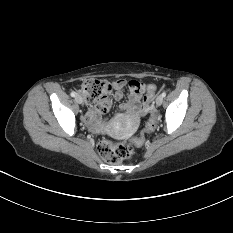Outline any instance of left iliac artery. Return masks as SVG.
<instances>
[{
	"label": "left iliac artery",
	"instance_id": "1",
	"mask_svg": "<svg viewBox=\"0 0 233 233\" xmlns=\"http://www.w3.org/2000/svg\"><path fill=\"white\" fill-rule=\"evenodd\" d=\"M161 96H162V97H165V96H166V92H163V93L161 94Z\"/></svg>",
	"mask_w": 233,
	"mask_h": 233
}]
</instances>
